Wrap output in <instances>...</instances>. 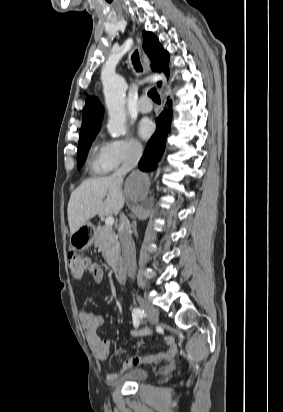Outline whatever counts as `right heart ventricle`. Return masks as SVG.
<instances>
[{
    "label": "right heart ventricle",
    "mask_w": 283,
    "mask_h": 412,
    "mask_svg": "<svg viewBox=\"0 0 283 412\" xmlns=\"http://www.w3.org/2000/svg\"><path fill=\"white\" fill-rule=\"evenodd\" d=\"M88 164L91 171L95 174H103L112 170L105 159L104 145L96 144L91 148Z\"/></svg>",
    "instance_id": "e07e8e85"
}]
</instances>
